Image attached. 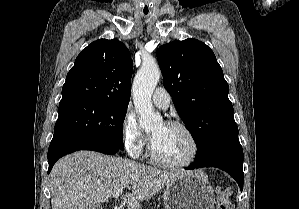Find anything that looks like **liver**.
Segmentation results:
<instances>
[{
    "instance_id": "6515ba94",
    "label": "liver",
    "mask_w": 299,
    "mask_h": 209,
    "mask_svg": "<svg viewBox=\"0 0 299 209\" xmlns=\"http://www.w3.org/2000/svg\"><path fill=\"white\" fill-rule=\"evenodd\" d=\"M191 172L161 170L115 156L78 151L61 158L50 174L52 209H91L128 187V209H138L165 186Z\"/></svg>"
}]
</instances>
